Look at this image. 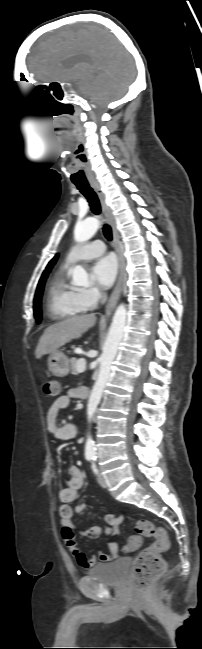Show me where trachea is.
Wrapping results in <instances>:
<instances>
[{
    "label": "trachea",
    "instance_id": "3493384b",
    "mask_svg": "<svg viewBox=\"0 0 202 649\" xmlns=\"http://www.w3.org/2000/svg\"><path fill=\"white\" fill-rule=\"evenodd\" d=\"M75 185L77 186L78 190L88 200L92 212L95 215H99L101 213L100 202H99L97 194L90 187L89 183H87V182H85V183H75ZM103 233H104V236L106 237V239L108 241L112 240V229L108 224L103 225Z\"/></svg>",
    "mask_w": 202,
    "mask_h": 649
}]
</instances>
